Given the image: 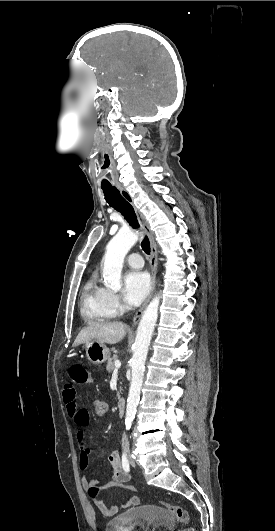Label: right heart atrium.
I'll return each instance as SVG.
<instances>
[{
  "instance_id": "right-heart-atrium-1",
  "label": "right heart atrium",
  "mask_w": 275,
  "mask_h": 531,
  "mask_svg": "<svg viewBox=\"0 0 275 531\" xmlns=\"http://www.w3.org/2000/svg\"><path fill=\"white\" fill-rule=\"evenodd\" d=\"M105 290V305L109 310L112 316L120 315L124 310V304L120 295L111 292L107 289Z\"/></svg>"
}]
</instances>
